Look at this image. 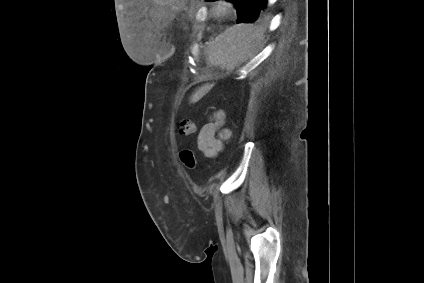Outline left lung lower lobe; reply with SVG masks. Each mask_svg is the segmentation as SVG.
<instances>
[{
	"mask_svg": "<svg viewBox=\"0 0 424 283\" xmlns=\"http://www.w3.org/2000/svg\"><path fill=\"white\" fill-rule=\"evenodd\" d=\"M266 5H267V0H265L263 5L261 6V12H266Z\"/></svg>",
	"mask_w": 424,
	"mask_h": 283,
	"instance_id": "0a47b994",
	"label": "left lung lower lobe"
}]
</instances>
